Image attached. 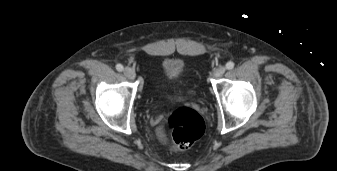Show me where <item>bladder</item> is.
<instances>
[{
  "label": "bladder",
  "mask_w": 337,
  "mask_h": 171,
  "mask_svg": "<svg viewBox=\"0 0 337 171\" xmlns=\"http://www.w3.org/2000/svg\"><path fill=\"white\" fill-rule=\"evenodd\" d=\"M161 69L167 81L177 82L182 74L183 64L178 61L168 60L162 64Z\"/></svg>",
  "instance_id": "31cf9c89"
}]
</instances>
